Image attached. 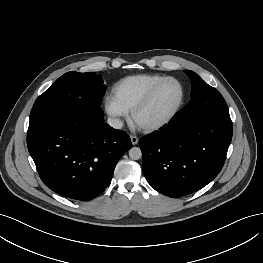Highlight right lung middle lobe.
<instances>
[{"instance_id": "dd1d6c3e", "label": "right lung middle lobe", "mask_w": 263, "mask_h": 263, "mask_svg": "<svg viewBox=\"0 0 263 263\" xmlns=\"http://www.w3.org/2000/svg\"><path fill=\"white\" fill-rule=\"evenodd\" d=\"M105 90L101 76L94 72L65 73L35 101L27 134L43 129L58 118L99 107Z\"/></svg>"}]
</instances>
